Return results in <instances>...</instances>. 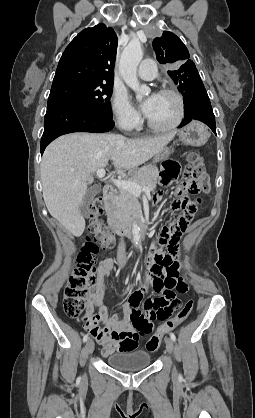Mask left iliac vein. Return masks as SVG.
I'll return each mask as SVG.
<instances>
[{"instance_id":"obj_1","label":"left iliac vein","mask_w":255,"mask_h":418,"mask_svg":"<svg viewBox=\"0 0 255 418\" xmlns=\"http://www.w3.org/2000/svg\"><path fill=\"white\" fill-rule=\"evenodd\" d=\"M165 343H166V349H167L168 353L170 355H172L173 352H174V343H173V340L171 338H169V337H166L165 338ZM173 373H175V369L173 370Z\"/></svg>"}]
</instances>
